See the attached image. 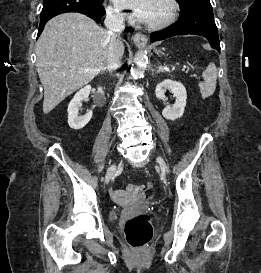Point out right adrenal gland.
Wrapping results in <instances>:
<instances>
[{
  "label": "right adrenal gland",
  "mask_w": 261,
  "mask_h": 273,
  "mask_svg": "<svg viewBox=\"0 0 261 273\" xmlns=\"http://www.w3.org/2000/svg\"><path fill=\"white\" fill-rule=\"evenodd\" d=\"M105 71H108L110 74H112V70L111 69H108L107 67H104L102 69V73H104Z\"/></svg>",
  "instance_id": "right-adrenal-gland-1"
}]
</instances>
